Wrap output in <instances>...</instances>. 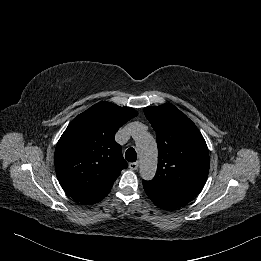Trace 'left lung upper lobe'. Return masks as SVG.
Listing matches in <instances>:
<instances>
[{"label":"left lung upper lobe","mask_w":261,"mask_h":261,"mask_svg":"<svg viewBox=\"0 0 261 261\" xmlns=\"http://www.w3.org/2000/svg\"><path fill=\"white\" fill-rule=\"evenodd\" d=\"M144 113L157 134L158 167L147 181L155 186L196 196L206 183L210 158L196 125L177 107H146Z\"/></svg>","instance_id":"obj_1"}]
</instances>
